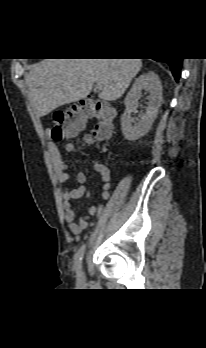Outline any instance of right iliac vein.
<instances>
[{
    "instance_id": "obj_1",
    "label": "right iliac vein",
    "mask_w": 206,
    "mask_h": 348,
    "mask_svg": "<svg viewBox=\"0 0 206 348\" xmlns=\"http://www.w3.org/2000/svg\"><path fill=\"white\" fill-rule=\"evenodd\" d=\"M79 279L81 281L84 279V273L82 271L79 272Z\"/></svg>"
}]
</instances>
